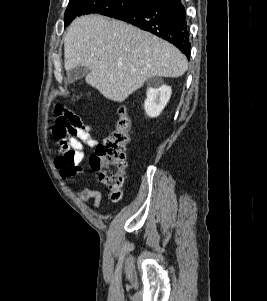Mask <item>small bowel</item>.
Segmentation results:
<instances>
[{
	"instance_id": "small-bowel-1",
	"label": "small bowel",
	"mask_w": 267,
	"mask_h": 301,
	"mask_svg": "<svg viewBox=\"0 0 267 301\" xmlns=\"http://www.w3.org/2000/svg\"><path fill=\"white\" fill-rule=\"evenodd\" d=\"M57 116L52 127V134L56 139L60 154L55 159V165L64 180L83 173L81 162L84 159V145L94 148L98 141L93 137V127L85 124L76 114L60 104L55 105ZM82 201L92 200L94 209L101 205L102 194L98 190L85 188L78 192Z\"/></svg>"
}]
</instances>
